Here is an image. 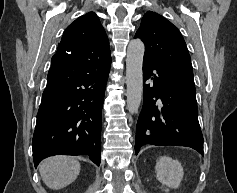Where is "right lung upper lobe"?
<instances>
[{
  "label": "right lung upper lobe",
  "instance_id": "1",
  "mask_svg": "<svg viewBox=\"0 0 237 193\" xmlns=\"http://www.w3.org/2000/svg\"><path fill=\"white\" fill-rule=\"evenodd\" d=\"M54 56H64L77 63L110 58L109 41L97 15L89 12L72 22Z\"/></svg>",
  "mask_w": 237,
  "mask_h": 193
}]
</instances>
